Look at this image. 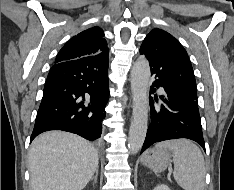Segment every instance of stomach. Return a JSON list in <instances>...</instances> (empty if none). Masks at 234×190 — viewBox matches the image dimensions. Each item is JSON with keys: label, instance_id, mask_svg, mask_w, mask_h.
Here are the masks:
<instances>
[{"label": "stomach", "instance_id": "1", "mask_svg": "<svg viewBox=\"0 0 234 190\" xmlns=\"http://www.w3.org/2000/svg\"><path fill=\"white\" fill-rule=\"evenodd\" d=\"M171 156L167 149L153 148L144 153L141 162L155 172H162L169 166Z\"/></svg>", "mask_w": 234, "mask_h": 190}]
</instances>
